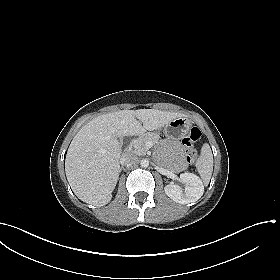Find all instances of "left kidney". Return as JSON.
I'll use <instances>...</instances> for the list:
<instances>
[{"mask_svg":"<svg viewBox=\"0 0 280 280\" xmlns=\"http://www.w3.org/2000/svg\"><path fill=\"white\" fill-rule=\"evenodd\" d=\"M180 181L185 184L182 189L178 185L168 184L164 191L168 197L180 204H189L196 202L204 193V186L200 178L189 172L180 174Z\"/></svg>","mask_w":280,"mask_h":280,"instance_id":"5707ae66","label":"left kidney"}]
</instances>
